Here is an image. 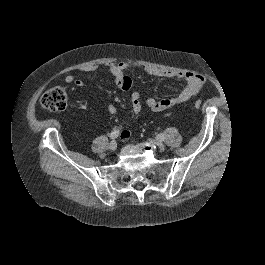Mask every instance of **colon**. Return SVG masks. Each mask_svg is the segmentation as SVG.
<instances>
[{"label":"colon","instance_id":"colon-1","mask_svg":"<svg viewBox=\"0 0 265 265\" xmlns=\"http://www.w3.org/2000/svg\"><path fill=\"white\" fill-rule=\"evenodd\" d=\"M68 95L65 89L54 87L47 90L41 97V105L43 108L59 112L63 111L67 106ZM202 105L201 100L194 103V108L199 109Z\"/></svg>","mask_w":265,"mask_h":265}]
</instances>
